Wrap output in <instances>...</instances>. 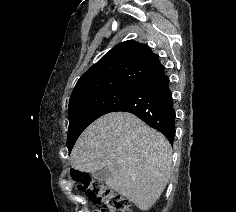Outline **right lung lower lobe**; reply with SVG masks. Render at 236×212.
I'll return each mask as SVG.
<instances>
[{
    "label": "right lung lower lobe",
    "mask_w": 236,
    "mask_h": 212,
    "mask_svg": "<svg viewBox=\"0 0 236 212\" xmlns=\"http://www.w3.org/2000/svg\"><path fill=\"white\" fill-rule=\"evenodd\" d=\"M114 111L129 112L138 116L150 127L163 133L173 144L175 110L170 81L163 65L144 76L133 88L130 96Z\"/></svg>",
    "instance_id": "98d812e1"
}]
</instances>
